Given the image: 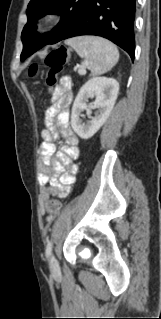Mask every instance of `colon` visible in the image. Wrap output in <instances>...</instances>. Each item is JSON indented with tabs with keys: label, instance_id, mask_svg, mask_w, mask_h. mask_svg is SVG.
<instances>
[{
	"label": "colon",
	"instance_id": "colon-1",
	"mask_svg": "<svg viewBox=\"0 0 161 319\" xmlns=\"http://www.w3.org/2000/svg\"><path fill=\"white\" fill-rule=\"evenodd\" d=\"M69 58L68 50L64 47L51 51L45 59V64L49 67V72L45 80V86L50 95H53L58 82V74ZM39 71V65L34 63L29 67V75L35 76ZM47 210L52 214L61 211V203L59 201H50L47 203Z\"/></svg>",
	"mask_w": 161,
	"mask_h": 319
}]
</instances>
